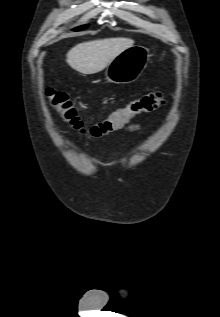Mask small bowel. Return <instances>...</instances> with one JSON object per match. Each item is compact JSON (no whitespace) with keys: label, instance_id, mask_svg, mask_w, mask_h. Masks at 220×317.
<instances>
[{"label":"small bowel","instance_id":"1","mask_svg":"<svg viewBox=\"0 0 220 317\" xmlns=\"http://www.w3.org/2000/svg\"><path fill=\"white\" fill-rule=\"evenodd\" d=\"M126 130L129 132H137L139 130V125L136 123H132L129 126L126 127ZM85 133H87L89 136H93V137H100V136H94L92 135L89 131H86Z\"/></svg>","mask_w":220,"mask_h":317}]
</instances>
